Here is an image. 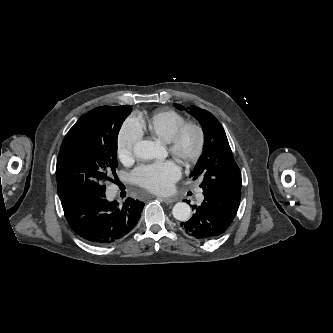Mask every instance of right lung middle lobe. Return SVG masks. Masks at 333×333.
Masks as SVG:
<instances>
[{"instance_id":"right-lung-middle-lobe-1","label":"right lung middle lobe","mask_w":333,"mask_h":333,"mask_svg":"<svg viewBox=\"0 0 333 333\" xmlns=\"http://www.w3.org/2000/svg\"><path fill=\"white\" fill-rule=\"evenodd\" d=\"M132 108L101 106L83 115L65 136L56 165L61 201L105 195V182L115 173L117 137Z\"/></svg>"}]
</instances>
